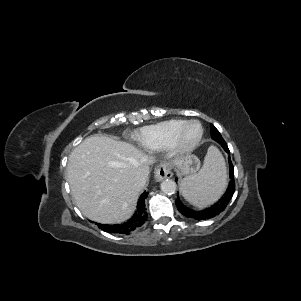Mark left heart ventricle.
<instances>
[{"mask_svg":"<svg viewBox=\"0 0 301 301\" xmlns=\"http://www.w3.org/2000/svg\"><path fill=\"white\" fill-rule=\"evenodd\" d=\"M200 128L198 125H192L186 132L185 140L187 142L193 141L199 134Z\"/></svg>","mask_w":301,"mask_h":301,"instance_id":"b2bd125f","label":"left heart ventricle"}]
</instances>
